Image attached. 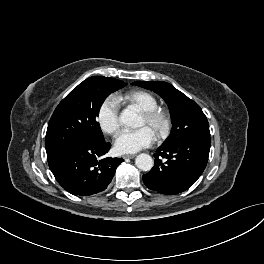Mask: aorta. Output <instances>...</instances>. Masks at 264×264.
Masks as SVG:
<instances>
[{
	"instance_id": "1",
	"label": "aorta",
	"mask_w": 264,
	"mask_h": 264,
	"mask_svg": "<svg viewBox=\"0 0 264 264\" xmlns=\"http://www.w3.org/2000/svg\"><path fill=\"white\" fill-rule=\"evenodd\" d=\"M120 122L130 128L139 127V116L136 109L132 106L124 109L119 117ZM153 159L149 154H139L135 159V165L142 171H150L153 167Z\"/></svg>"
}]
</instances>
